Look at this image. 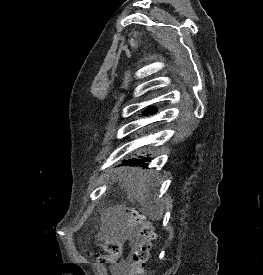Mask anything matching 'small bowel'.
<instances>
[{
	"label": "small bowel",
	"instance_id": "obj_1",
	"mask_svg": "<svg viewBox=\"0 0 263 275\" xmlns=\"http://www.w3.org/2000/svg\"><path fill=\"white\" fill-rule=\"evenodd\" d=\"M122 270H123V269H121V268H117V272H116V274H117V275H121Z\"/></svg>",
	"mask_w": 263,
	"mask_h": 275
}]
</instances>
